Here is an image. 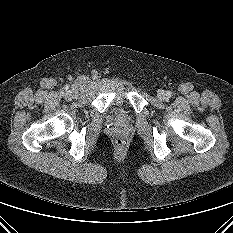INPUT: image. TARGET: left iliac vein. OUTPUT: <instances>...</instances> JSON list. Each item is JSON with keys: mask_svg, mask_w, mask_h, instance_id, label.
<instances>
[{"mask_svg": "<svg viewBox=\"0 0 233 233\" xmlns=\"http://www.w3.org/2000/svg\"><path fill=\"white\" fill-rule=\"evenodd\" d=\"M157 96L160 100H164L166 98V93L163 90H160Z\"/></svg>", "mask_w": 233, "mask_h": 233, "instance_id": "obj_1", "label": "left iliac vein"}]
</instances>
